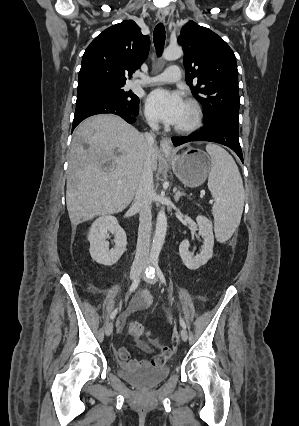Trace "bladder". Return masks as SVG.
Instances as JSON below:
<instances>
[{
  "label": "bladder",
  "mask_w": 299,
  "mask_h": 426,
  "mask_svg": "<svg viewBox=\"0 0 299 426\" xmlns=\"http://www.w3.org/2000/svg\"><path fill=\"white\" fill-rule=\"evenodd\" d=\"M170 374L168 366L142 368L139 370L119 369L118 375L123 380L140 389H151L162 383Z\"/></svg>",
  "instance_id": "obj_1"
}]
</instances>
